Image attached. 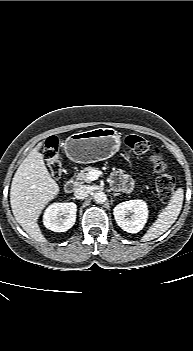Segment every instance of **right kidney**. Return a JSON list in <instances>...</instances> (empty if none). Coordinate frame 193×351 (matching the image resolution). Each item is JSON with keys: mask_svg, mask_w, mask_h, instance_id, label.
<instances>
[{"mask_svg": "<svg viewBox=\"0 0 193 351\" xmlns=\"http://www.w3.org/2000/svg\"><path fill=\"white\" fill-rule=\"evenodd\" d=\"M76 212L75 203H53L44 212V226L54 232H65L75 224Z\"/></svg>", "mask_w": 193, "mask_h": 351, "instance_id": "1", "label": "right kidney"}]
</instances>
